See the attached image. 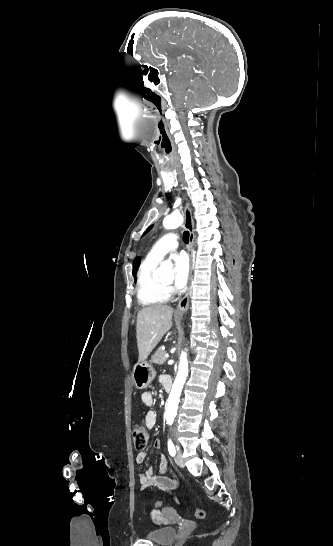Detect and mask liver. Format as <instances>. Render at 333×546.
I'll return each instance as SVG.
<instances>
[{"label":"liver","instance_id":"obj_1","mask_svg":"<svg viewBox=\"0 0 333 546\" xmlns=\"http://www.w3.org/2000/svg\"><path fill=\"white\" fill-rule=\"evenodd\" d=\"M173 309L167 305H154L137 314L136 337L139 361H145L162 337L172 327Z\"/></svg>","mask_w":333,"mask_h":546}]
</instances>
